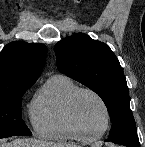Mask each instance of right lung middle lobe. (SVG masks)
I'll list each match as a JSON object with an SVG mask.
<instances>
[{"label": "right lung middle lobe", "instance_id": "right-lung-middle-lobe-1", "mask_svg": "<svg viewBox=\"0 0 145 147\" xmlns=\"http://www.w3.org/2000/svg\"><path fill=\"white\" fill-rule=\"evenodd\" d=\"M31 86L15 87L0 92V138L31 136L22 120V96Z\"/></svg>", "mask_w": 145, "mask_h": 147}]
</instances>
